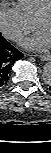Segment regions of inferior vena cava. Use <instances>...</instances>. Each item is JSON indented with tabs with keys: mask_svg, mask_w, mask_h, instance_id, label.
Here are the masks:
<instances>
[{
	"mask_svg": "<svg viewBox=\"0 0 51 153\" xmlns=\"http://www.w3.org/2000/svg\"><path fill=\"white\" fill-rule=\"evenodd\" d=\"M6 37L10 40H14L17 37V33L15 31H10L7 33Z\"/></svg>",
	"mask_w": 51,
	"mask_h": 153,
	"instance_id": "1",
	"label": "inferior vena cava"
}]
</instances>
